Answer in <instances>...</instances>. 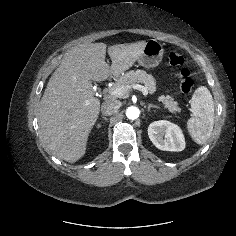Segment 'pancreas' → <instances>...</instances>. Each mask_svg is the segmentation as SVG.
I'll use <instances>...</instances> for the list:
<instances>
[{
    "instance_id": "cf45deb5",
    "label": "pancreas",
    "mask_w": 236,
    "mask_h": 236,
    "mask_svg": "<svg viewBox=\"0 0 236 236\" xmlns=\"http://www.w3.org/2000/svg\"><path fill=\"white\" fill-rule=\"evenodd\" d=\"M136 83H143L149 94H154L157 90L156 79L151 74L144 70H131L120 76L109 91L126 85L130 86L129 91ZM158 101L162 102L164 108L172 113L179 111L178 102L174 101L170 95H161L158 97Z\"/></svg>"
}]
</instances>
